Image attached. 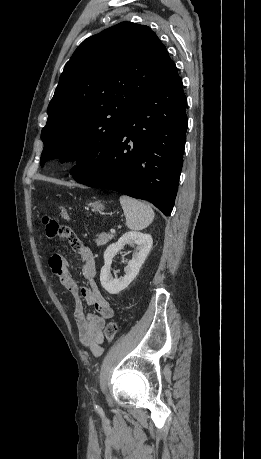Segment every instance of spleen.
Listing matches in <instances>:
<instances>
[{"label":"spleen","mask_w":261,"mask_h":459,"mask_svg":"<svg viewBox=\"0 0 261 459\" xmlns=\"http://www.w3.org/2000/svg\"><path fill=\"white\" fill-rule=\"evenodd\" d=\"M120 204L126 217V225L130 230L145 229L154 219L152 208L139 200L122 195Z\"/></svg>","instance_id":"3e777b00"}]
</instances>
